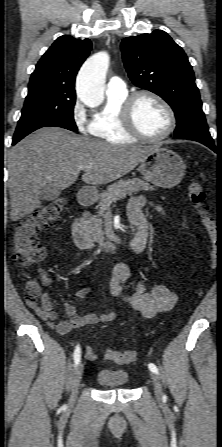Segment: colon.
I'll return each mask as SVG.
<instances>
[{
  "label": "colon",
  "mask_w": 222,
  "mask_h": 447,
  "mask_svg": "<svg viewBox=\"0 0 222 447\" xmlns=\"http://www.w3.org/2000/svg\"><path fill=\"white\" fill-rule=\"evenodd\" d=\"M188 197L197 208L202 224L211 238L210 266L216 264L215 240L218 235L216 222L209 212L206 203V194L202 185L192 180L187 186ZM66 201L63 198L52 200L43 207L27 215L16 227L12 238V260L21 268L32 267L41 262L47 250L39 241L37 235L40 231L55 225L65 211ZM42 292L41 284L35 279H29L25 285V298L27 302H36ZM107 360L116 364H129L136 360L137 354L133 350L115 351L107 349L104 352Z\"/></svg>",
  "instance_id": "obj_1"
}]
</instances>
